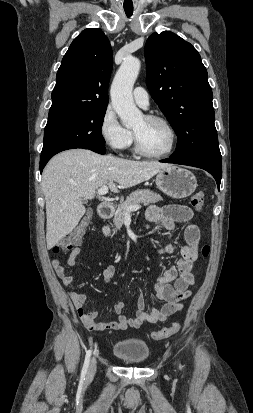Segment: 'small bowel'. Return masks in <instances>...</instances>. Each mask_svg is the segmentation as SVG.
<instances>
[{
    "label": "small bowel",
    "instance_id": "1",
    "mask_svg": "<svg viewBox=\"0 0 253 413\" xmlns=\"http://www.w3.org/2000/svg\"><path fill=\"white\" fill-rule=\"evenodd\" d=\"M193 215L192 209L184 205H151L146 211L148 221L160 224L168 231H173L176 223L185 225L184 238L186 244L180 249V258L175 265L169 266L164 271L157 279L154 287L157 298L163 302L160 308L145 311L146 299L145 295L141 293L137 300V311L133 317L124 315L125 305L123 302H118L113 306L114 312L118 315L117 320L105 322L97 319V311L84 310V305L87 301L85 294L74 291L69 293L73 306L88 330L106 331L139 328L145 323L165 321L183 308L182 301L191 295L189 287L195 283L193 268L194 262L198 257V244L200 240V230L192 221ZM175 248V245L168 244L157 252L159 254L172 253ZM80 251L79 247L71 250L67 262L69 267H73L76 264V258ZM51 264L64 286L68 287L77 282V278L74 275L66 274V269L58 258L53 259ZM114 273L115 267L112 264L107 265L102 271L104 282L108 283Z\"/></svg>",
    "mask_w": 253,
    "mask_h": 413
}]
</instances>
